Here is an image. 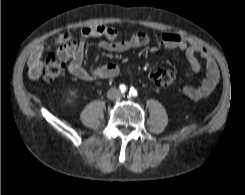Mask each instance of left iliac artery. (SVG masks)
<instances>
[{
  "label": "left iliac artery",
  "instance_id": "obj_1",
  "mask_svg": "<svg viewBox=\"0 0 245 195\" xmlns=\"http://www.w3.org/2000/svg\"><path fill=\"white\" fill-rule=\"evenodd\" d=\"M129 95L130 96H136L137 95V91L134 88H131L129 91Z\"/></svg>",
  "mask_w": 245,
  "mask_h": 195
}]
</instances>
